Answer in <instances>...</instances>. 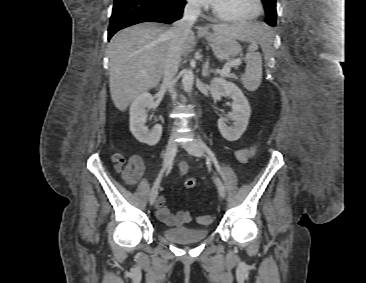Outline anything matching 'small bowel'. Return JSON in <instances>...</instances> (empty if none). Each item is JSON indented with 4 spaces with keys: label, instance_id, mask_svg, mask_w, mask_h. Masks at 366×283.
I'll return each instance as SVG.
<instances>
[{
    "label": "small bowel",
    "instance_id": "obj_1",
    "mask_svg": "<svg viewBox=\"0 0 366 283\" xmlns=\"http://www.w3.org/2000/svg\"><path fill=\"white\" fill-rule=\"evenodd\" d=\"M253 148H242L235 152L236 159L242 163L246 162L253 154ZM114 169L121 174L122 180L129 186H134L138 183L145 172L144 162L141 156L132 155L127 161L120 154H115L112 157ZM188 165L185 162L179 164L178 172L180 175L186 174ZM158 218L167 225L181 226L190 219V214L186 211H180L177 214H172L166 206V200L160 196L156 203Z\"/></svg>",
    "mask_w": 366,
    "mask_h": 283
}]
</instances>
